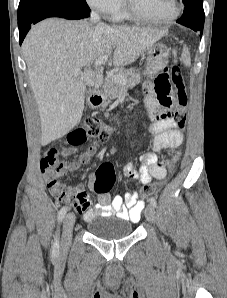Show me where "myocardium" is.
Returning <instances> with one entry per match:
<instances>
[{"mask_svg":"<svg viewBox=\"0 0 227 298\" xmlns=\"http://www.w3.org/2000/svg\"><path fill=\"white\" fill-rule=\"evenodd\" d=\"M123 8L125 13L133 20L150 23V24H168L173 22L178 18L181 12V5L179 0H173V12L166 18L163 19H155L140 13L136 7L134 6L132 0H123Z\"/></svg>","mask_w":227,"mask_h":298,"instance_id":"obj_1","label":"myocardium"}]
</instances>
